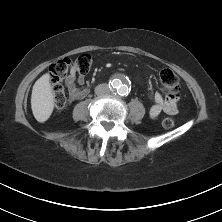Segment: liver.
<instances>
[{"label": "liver", "instance_id": "6515ba94", "mask_svg": "<svg viewBox=\"0 0 222 222\" xmlns=\"http://www.w3.org/2000/svg\"><path fill=\"white\" fill-rule=\"evenodd\" d=\"M54 96L50 84V75H42L33 85L31 95V108L38 122H45L54 109Z\"/></svg>", "mask_w": 222, "mask_h": 222}]
</instances>
